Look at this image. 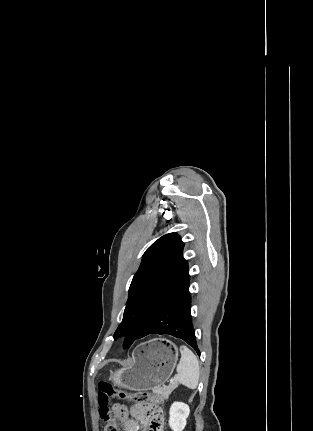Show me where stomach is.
<instances>
[{"mask_svg": "<svg viewBox=\"0 0 313 431\" xmlns=\"http://www.w3.org/2000/svg\"><path fill=\"white\" fill-rule=\"evenodd\" d=\"M178 348L169 340L155 338L138 345L129 365L111 372L114 386L145 391L161 387L172 375Z\"/></svg>", "mask_w": 313, "mask_h": 431, "instance_id": "1", "label": "stomach"}]
</instances>
